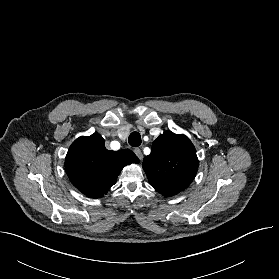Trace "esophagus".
I'll use <instances>...</instances> for the list:
<instances>
[{
    "label": "esophagus",
    "mask_w": 279,
    "mask_h": 279,
    "mask_svg": "<svg viewBox=\"0 0 279 279\" xmlns=\"http://www.w3.org/2000/svg\"><path fill=\"white\" fill-rule=\"evenodd\" d=\"M134 152H135V154L138 156V158H139L140 160L143 159V153H142V151H141L140 148H135V149H134Z\"/></svg>",
    "instance_id": "obj_1"
}]
</instances>
